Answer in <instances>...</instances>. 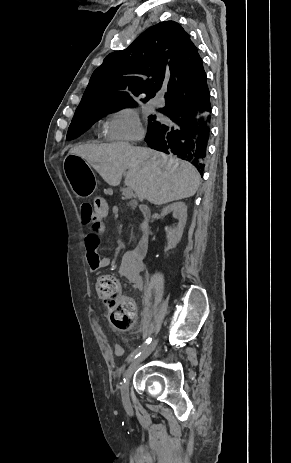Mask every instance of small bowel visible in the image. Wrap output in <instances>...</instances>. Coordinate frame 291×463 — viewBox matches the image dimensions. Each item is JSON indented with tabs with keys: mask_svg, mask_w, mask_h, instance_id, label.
Masks as SVG:
<instances>
[{
	"mask_svg": "<svg viewBox=\"0 0 291 463\" xmlns=\"http://www.w3.org/2000/svg\"><path fill=\"white\" fill-rule=\"evenodd\" d=\"M106 217H97L95 215L94 220L92 221L91 226L83 239L84 259L88 270L91 273H98L102 269L107 268L112 264L111 257L101 256L98 253L100 235L106 229L104 223ZM142 269L143 257L139 256L135 252V249L124 253L120 263L119 273L125 277L126 280L138 291H142L144 288V283L141 276ZM113 354L115 356H121L122 349L120 347H115L113 349Z\"/></svg>",
	"mask_w": 291,
	"mask_h": 463,
	"instance_id": "small-bowel-1",
	"label": "small bowel"
}]
</instances>
